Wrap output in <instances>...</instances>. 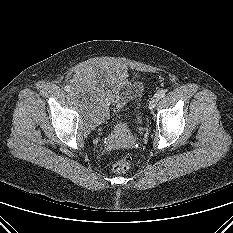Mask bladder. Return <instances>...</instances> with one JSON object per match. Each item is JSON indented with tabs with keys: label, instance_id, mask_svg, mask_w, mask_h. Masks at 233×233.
<instances>
[{
	"label": "bladder",
	"instance_id": "obj_1",
	"mask_svg": "<svg viewBox=\"0 0 233 233\" xmlns=\"http://www.w3.org/2000/svg\"><path fill=\"white\" fill-rule=\"evenodd\" d=\"M71 87L85 128H96L110 118L112 109L120 112L127 106L132 107L133 125H142L143 86L131 80L125 70L98 62L86 63L72 79Z\"/></svg>",
	"mask_w": 233,
	"mask_h": 233
}]
</instances>
